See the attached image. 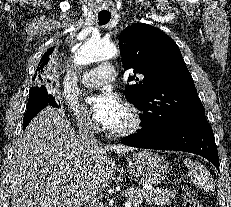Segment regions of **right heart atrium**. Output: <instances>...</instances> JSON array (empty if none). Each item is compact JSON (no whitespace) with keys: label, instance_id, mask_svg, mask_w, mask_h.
Listing matches in <instances>:
<instances>
[{"label":"right heart atrium","instance_id":"obj_1","mask_svg":"<svg viewBox=\"0 0 231 207\" xmlns=\"http://www.w3.org/2000/svg\"><path fill=\"white\" fill-rule=\"evenodd\" d=\"M61 103L65 108H67L71 112V114L74 116L77 122V125L81 129L91 131L96 128L93 119L85 112V110L82 107H80L71 98L66 97L62 100Z\"/></svg>","mask_w":231,"mask_h":207}]
</instances>
